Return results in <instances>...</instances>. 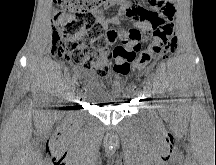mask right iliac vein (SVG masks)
Returning <instances> with one entry per match:
<instances>
[{"mask_svg":"<svg viewBox=\"0 0 216 165\" xmlns=\"http://www.w3.org/2000/svg\"><path fill=\"white\" fill-rule=\"evenodd\" d=\"M76 85H77V84L74 82V86H73V90H72V94H71L72 97H73V98H72V103H73L74 105L77 103V95L75 94L76 91H77V90H76V89H77V88H76V87H77Z\"/></svg>","mask_w":216,"mask_h":165,"instance_id":"obj_1","label":"right iliac vein"}]
</instances>
